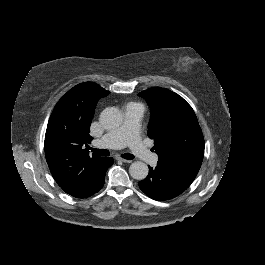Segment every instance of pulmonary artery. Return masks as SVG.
Segmentation results:
<instances>
[{
  "mask_svg": "<svg viewBox=\"0 0 265 265\" xmlns=\"http://www.w3.org/2000/svg\"><path fill=\"white\" fill-rule=\"evenodd\" d=\"M142 110L139 107L128 105L123 108V124L113 135L103 136L101 145L109 149L121 148L127 141L129 150L139 157L145 164H152L156 155L140 143L139 124Z\"/></svg>",
  "mask_w": 265,
  "mask_h": 265,
  "instance_id": "pulmonary-artery-1",
  "label": "pulmonary artery"
}]
</instances>
